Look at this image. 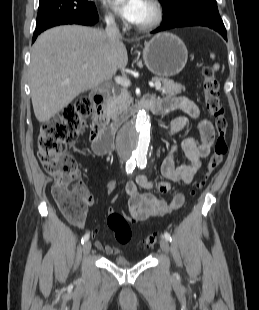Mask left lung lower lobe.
I'll list each match as a JSON object with an SVG mask.
<instances>
[{
    "label": "left lung lower lobe",
    "mask_w": 259,
    "mask_h": 310,
    "mask_svg": "<svg viewBox=\"0 0 259 310\" xmlns=\"http://www.w3.org/2000/svg\"><path fill=\"white\" fill-rule=\"evenodd\" d=\"M184 26H206L217 31L219 34L223 36L225 40H227V32L223 24V21L221 19H210L205 17H192L173 24L162 25L161 27L153 31V33L170 28L184 27Z\"/></svg>",
    "instance_id": "1"
}]
</instances>
